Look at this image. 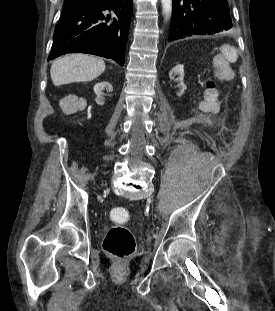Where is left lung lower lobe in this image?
I'll return each instance as SVG.
<instances>
[{
    "mask_svg": "<svg viewBox=\"0 0 275 311\" xmlns=\"http://www.w3.org/2000/svg\"><path fill=\"white\" fill-rule=\"evenodd\" d=\"M169 41L193 35H210L232 27L227 0H173Z\"/></svg>",
    "mask_w": 275,
    "mask_h": 311,
    "instance_id": "left-lung-lower-lobe-1",
    "label": "left lung lower lobe"
}]
</instances>
